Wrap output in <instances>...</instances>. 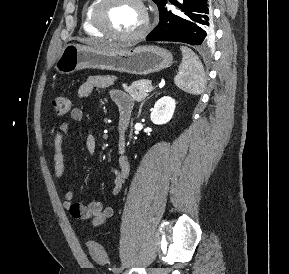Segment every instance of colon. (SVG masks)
I'll list each match as a JSON object with an SVG mask.
<instances>
[{"instance_id": "1", "label": "colon", "mask_w": 289, "mask_h": 274, "mask_svg": "<svg viewBox=\"0 0 289 274\" xmlns=\"http://www.w3.org/2000/svg\"><path fill=\"white\" fill-rule=\"evenodd\" d=\"M52 106L58 116H64L71 109V100L67 96H57L52 100ZM88 249L95 262L99 264L107 262V254L100 244L95 241H89Z\"/></svg>"}]
</instances>
